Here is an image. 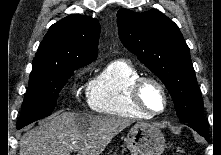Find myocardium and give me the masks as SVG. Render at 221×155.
Returning <instances> with one entry per match:
<instances>
[{"label": "myocardium", "instance_id": "f54148a6", "mask_svg": "<svg viewBox=\"0 0 221 155\" xmlns=\"http://www.w3.org/2000/svg\"><path fill=\"white\" fill-rule=\"evenodd\" d=\"M148 83H151V84H154L155 86H157L163 95L164 106H163L162 110H160V111L150 110L145 105V103L142 99L143 88ZM130 97H131V101H132L133 105L139 111H141L142 113H144L148 116L161 115L167 110V108L169 106V94H168L166 87L164 86V84L161 81H159L158 79L151 77V76H141L140 78H138L131 87Z\"/></svg>", "mask_w": 221, "mask_h": 155}]
</instances>
